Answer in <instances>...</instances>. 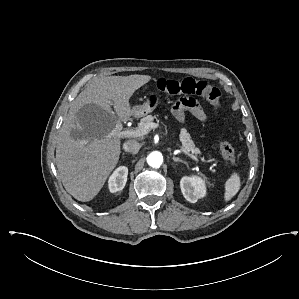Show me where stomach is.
Returning <instances> with one entry per match:
<instances>
[{
	"label": "stomach",
	"mask_w": 299,
	"mask_h": 299,
	"mask_svg": "<svg viewBox=\"0 0 299 299\" xmlns=\"http://www.w3.org/2000/svg\"><path fill=\"white\" fill-rule=\"evenodd\" d=\"M158 104V96L155 94H151L149 97H147L146 101L142 105H136L132 108V115L135 118L143 117L154 111Z\"/></svg>",
	"instance_id": "obj_1"
}]
</instances>
